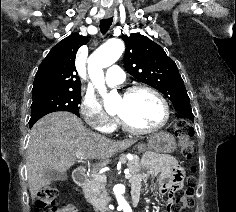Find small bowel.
Here are the masks:
<instances>
[{"instance_id": "small-bowel-1", "label": "small bowel", "mask_w": 236, "mask_h": 212, "mask_svg": "<svg viewBox=\"0 0 236 212\" xmlns=\"http://www.w3.org/2000/svg\"><path fill=\"white\" fill-rule=\"evenodd\" d=\"M151 176H159L163 191L166 192L173 184H179L182 180V171L177 167L174 158L163 155L153 154L146 159L143 170L132 182V190H140L142 182ZM61 212H77L73 205H67ZM167 212H172L170 206Z\"/></svg>"}]
</instances>
